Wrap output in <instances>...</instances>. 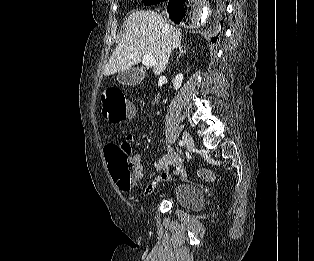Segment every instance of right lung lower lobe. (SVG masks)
Returning a JSON list of instances; mask_svg holds the SVG:
<instances>
[{"mask_svg":"<svg viewBox=\"0 0 314 261\" xmlns=\"http://www.w3.org/2000/svg\"><path fill=\"white\" fill-rule=\"evenodd\" d=\"M167 0H161V2H166ZM159 2V3H161ZM187 5L182 0H169L168 1V7L167 12L169 13V17L171 20H173L175 23L179 24L182 20L184 21L186 18V10ZM218 38L217 36H214L211 38V42H216Z\"/></svg>","mask_w":314,"mask_h":261,"instance_id":"obj_1","label":"right lung lower lobe"}]
</instances>
